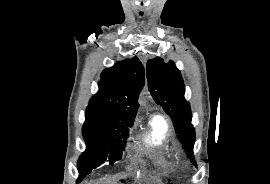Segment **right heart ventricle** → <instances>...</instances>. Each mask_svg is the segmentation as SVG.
<instances>
[{
	"mask_svg": "<svg viewBox=\"0 0 270 184\" xmlns=\"http://www.w3.org/2000/svg\"><path fill=\"white\" fill-rule=\"evenodd\" d=\"M138 142L148 149L162 150L167 156L173 153L171 145V130L167 119L160 115H152L144 130L138 136Z\"/></svg>",
	"mask_w": 270,
	"mask_h": 184,
	"instance_id": "e07e8e85",
	"label": "right heart ventricle"
}]
</instances>
